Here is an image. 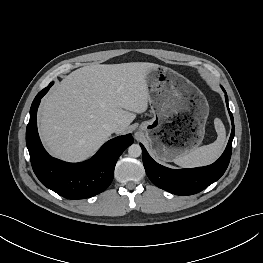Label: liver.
Returning <instances> with one entry per match:
<instances>
[{"instance_id": "1", "label": "liver", "mask_w": 263, "mask_h": 263, "mask_svg": "<svg viewBox=\"0 0 263 263\" xmlns=\"http://www.w3.org/2000/svg\"><path fill=\"white\" fill-rule=\"evenodd\" d=\"M157 64H95L66 76L39 109V132L49 152L66 161H81L111 136L116 122L123 133L136 114L148 108L146 73Z\"/></svg>"}]
</instances>
